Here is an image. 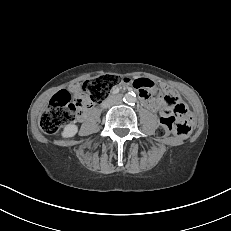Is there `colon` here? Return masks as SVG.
<instances>
[{
  "instance_id": "colon-1",
  "label": "colon",
  "mask_w": 231,
  "mask_h": 231,
  "mask_svg": "<svg viewBox=\"0 0 231 231\" xmlns=\"http://www.w3.org/2000/svg\"><path fill=\"white\" fill-rule=\"evenodd\" d=\"M124 83L132 86L143 97L149 96L153 88V82L146 78H122L116 74H107L86 80L80 85L83 93L80 97L72 98L66 91L57 92L51 99L49 106L42 113L39 125L47 134L55 133L59 128L74 121L77 112L90 108L107 98L111 90ZM164 99L168 105H174L172 114H164L159 121L156 134L165 137L171 133L186 137L191 132L188 111L185 105L178 103L169 95Z\"/></svg>"
}]
</instances>
